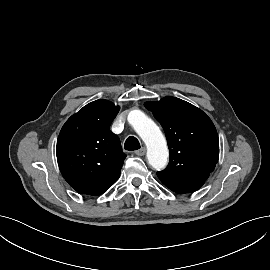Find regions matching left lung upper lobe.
<instances>
[{
  "mask_svg": "<svg viewBox=\"0 0 270 270\" xmlns=\"http://www.w3.org/2000/svg\"><path fill=\"white\" fill-rule=\"evenodd\" d=\"M144 105L162 125L170 151L168 166L157 176L176 193L198 190L219 158V139L213 122L202 110L176 97Z\"/></svg>",
  "mask_w": 270,
  "mask_h": 270,
  "instance_id": "left-lung-upper-lobe-1",
  "label": "left lung upper lobe"
}]
</instances>
